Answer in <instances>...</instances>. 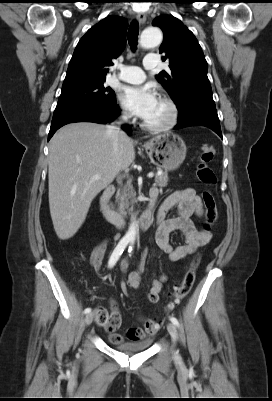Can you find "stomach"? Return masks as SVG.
<instances>
[{
    "label": "stomach",
    "mask_w": 272,
    "mask_h": 401,
    "mask_svg": "<svg viewBox=\"0 0 272 401\" xmlns=\"http://www.w3.org/2000/svg\"><path fill=\"white\" fill-rule=\"evenodd\" d=\"M145 150L153 163L166 171L178 168L186 157V145L174 133L158 135L145 143Z\"/></svg>",
    "instance_id": "stomach-1"
}]
</instances>
